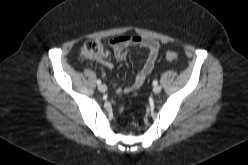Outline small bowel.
<instances>
[{
	"label": "small bowel",
	"mask_w": 248,
	"mask_h": 165,
	"mask_svg": "<svg viewBox=\"0 0 248 165\" xmlns=\"http://www.w3.org/2000/svg\"><path fill=\"white\" fill-rule=\"evenodd\" d=\"M108 44L114 52L115 59L119 62L125 61L127 51L131 47L143 48L147 51L146 59L133 82L128 86L119 87L117 93L126 94L132 90L138 89L154 68L160 51L159 43L141 36L121 35L112 39ZM108 66H110V64H108Z\"/></svg>",
	"instance_id": "1"
}]
</instances>
